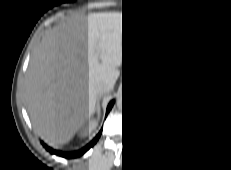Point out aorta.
<instances>
[{
  "label": "aorta",
  "instance_id": "obj_1",
  "mask_svg": "<svg viewBox=\"0 0 231 170\" xmlns=\"http://www.w3.org/2000/svg\"><path fill=\"white\" fill-rule=\"evenodd\" d=\"M117 106H118L120 109H122V107H123V97H122V95H120V96L118 97V99H117Z\"/></svg>",
  "mask_w": 231,
  "mask_h": 170
}]
</instances>
